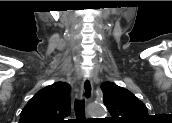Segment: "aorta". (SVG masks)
Returning a JSON list of instances; mask_svg holds the SVG:
<instances>
[{"mask_svg":"<svg viewBox=\"0 0 172 123\" xmlns=\"http://www.w3.org/2000/svg\"><path fill=\"white\" fill-rule=\"evenodd\" d=\"M106 113L105 108L102 105L99 104H91L88 107V114L92 118H103Z\"/></svg>","mask_w":172,"mask_h":123,"instance_id":"762f6f07","label":"aorta"}]
</instances>
